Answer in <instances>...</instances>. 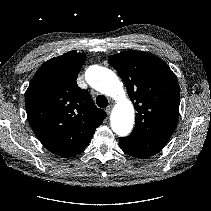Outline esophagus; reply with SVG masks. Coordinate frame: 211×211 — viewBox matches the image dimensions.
Returning <instances> with one entry per match:
<instances>
[{
  "label": "esophagus",
  "mask_w": 211,
  "mask_h": 211,
  "mask_svg": "<svg viewBox=\"0 0 211 211\" xmlns=\"http://www.w3.org/2000/svg\"><path fill=\"white\" fill-rule=\"evenodd\" d=\"M111 110H112V105L108 106L105 111L107 114H110L111 113Z\"/></svg>",
  "instance_id": "esophagus-1"
}]
</instances>
